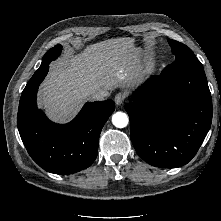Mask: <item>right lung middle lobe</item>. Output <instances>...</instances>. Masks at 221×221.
Returning <instances> with one entry per match:
<instances>
[{
  "mask_svg": "<svg viewBox=\"0 0 221 221\" xmlns=\"http://www.w3.org/2000/svg\"><path fill=\"white\" fill-rule=\"evenodd\" d=\"M62 46L60 44L50 49L43 57L42 64L39 68H44L49 65L52 60H55L61 53Z\"/></svg>",
  "mask_w": 221,
  "mask_h": 221,
  "instance_id": "dd1d6c3e",
  "label": "right lung middle lobe"
}]
</instances>
